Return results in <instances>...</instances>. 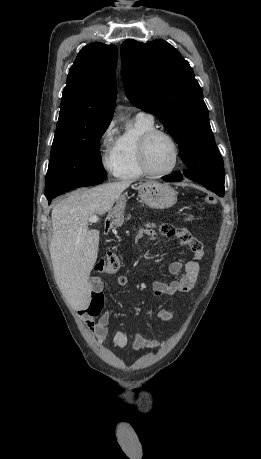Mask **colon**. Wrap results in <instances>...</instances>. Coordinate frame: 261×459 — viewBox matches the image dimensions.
Masks as SVG:
<instances>
[{"mask_svg": "<svg viewBox=\"0 0 261 459\" xmlns=\"http://www.w3.org/2000/svg\"><path fill=\"white\" fill-rule=\"evenodd\" d=\"M204 201L205 203L211 205L216 203V198L208 194L205 196ZM160 231L164 235H169L172 232V228L167 224H161ZM120 267L121 261L119 257L114 253H109L97 262L95 270L102 274H114L120 269ZM103 306V294L93 293L90 305L83 312L91 317H96L101 313Z\"/></svg>", "mask_w": 261, "mask_h": 459, "instance_id": "obj_1", "label": "colon"}]
</instances>
